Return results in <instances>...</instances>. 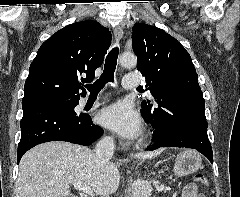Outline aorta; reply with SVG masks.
Here are the masks:
<instances>
[{"mask_svg":"<svg viewBox=\"0 0 240 197\" xmlns=\"http://www.w3.org/2000/svg\"><path fill=\"white\" fill-rule=\"evenodd\" d=\"M137 63V58L134 54H131V53H124L122 54V56L120 57V64L121 66L125 67V68H128V67H134ZM141 187L144 189L142 190L141 192H137L136 195L137 197L141 196V195H144V192L146 190V186L144 185V183H141L140 184Z\"/></svg>","mask_w":240,"mask_h":197,"instance_id":"762f6f07","label":"aorta"}]
</instances>
